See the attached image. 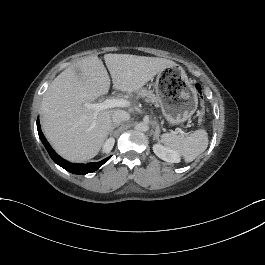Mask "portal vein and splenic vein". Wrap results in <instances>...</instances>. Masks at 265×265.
Wrapping results in <instances>:
<instances>
[{"label": "portal vein and splenic vein", "mask_w": 265, "mask_h": 265, "mask_svg": "<svg viewBox=\"0 0 265 265\" xmlns=\"http://www.w3.org/2000/svg\"><path fill=\"white\" fill-rule=\"evenodd\" d=\"M127 102L125 100H114V99H106L102 103L90 104L89 102H83V106L88 109H94L97 111H101L108 108L114 107H123L126 106Z\"/></svg>", "instance_id": "1"}]
</instances>
